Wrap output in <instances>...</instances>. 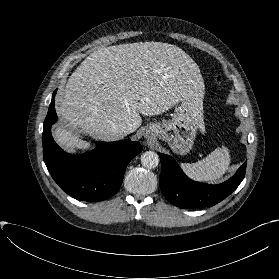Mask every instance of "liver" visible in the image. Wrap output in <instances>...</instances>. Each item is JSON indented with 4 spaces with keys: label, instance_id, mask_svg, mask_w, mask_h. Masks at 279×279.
Wrapping results in <instances>:
<instances>
[{
    "label": "liver",
    "instance_id": "6515ba94",
    "mask_svg": "<svg viewBox=\"0 0 279 279\" xmlns=\"http://www.w3.org/2000/svg\"><path fill=\"white\" fill-rule=\"evenodd\" d=\"M204 82L194 60L181 48L162 42H137L99 48L72 73L56 111L66 122L54 130L67 151L86 150L80 128L95 140L116 141L121 128L142 124L141 115L161 114L182 99L202 109Z\"/></svg>",
    "mask_w": 279,
    "mask_h": 279
}]
</instances>
